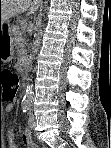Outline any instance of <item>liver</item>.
Masks as SVG:
<instances>
[{
    "label": "liver",
    "mask_w": 111,
    "mask_h": 148,
    "mask_svg": "<svg viewBox=\"0 0 111 148\" xmlns=\"http://www.w3.org/2000/svg\"><path fill=\"white\" fill-rule=\"evenodd\" d=\"M42 0H1L0 1V22L3 24L11 17L29 10L33 13L38 9Z\"/></svg>",
    "instance_id": "1"
}]
</instances>
